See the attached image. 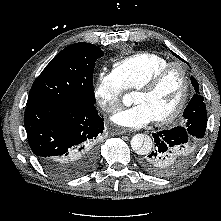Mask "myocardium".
Wrapping results in <instances>:
<instances>
[{
	"label": "myocardium",
	"mask_w": 221,
	"mask_h": 221,
	"mask_svg": "<svg viewBox=\"0 0 221 221\" xmlns=\"http://www.w3.org/2000/svg\"><path fill=\"white\" fill-rule=\"evenodd\" d=\"M177 68L181 72L183 78V91L176 107L166 116L154 120L157 125H167L176 120L184 110L190 95V78L186 67L180 62H169L159 70H157L146 82L140 85L136 92H152L155 90L167 73Z\"/></svg>",
	"instance_id": "1"
}]
</instances>
